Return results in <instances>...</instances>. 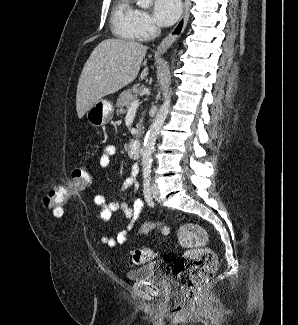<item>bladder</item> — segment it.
Returning a JSON list of instances; mask_svg holds the SVG:
<instances>
[{"label":"bladder","mask_w":298,"mask_h":325,"mask_svg":"<svg viewBox=\"0 0 298 325\" xmlns=\"http://www.w3.org/2000/svg\"><path fill=\"white\" fill-rule=\"evenodd\" d=\"M126 277L130 281L147 282L166 291H172L174 288L171 277L158 262H150L138 268L129 270L126 273Z\"/></svg>","instance_id":"1"}]
</instances>
